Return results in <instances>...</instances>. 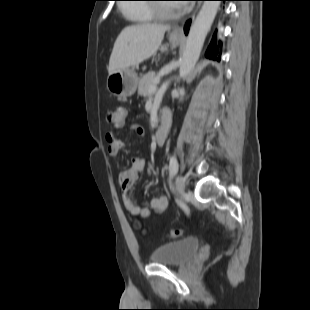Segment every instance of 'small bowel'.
I'll return each mask as SVG.
<instances>
[{
    "label": "small bowel",
    "instance_id": "small-bowel-1",
    "mask_svg": "<svg viewBox=\"0 0 310 310\" xmlns=\"http://www.w3.org/2000/svg\"><path fill=\"white\" fill-rule=\"evenodd\" d=\"M131 130L139 136L144 135V129L140 125L132 126ZM107 140V152L110 156L116 157L123 149V143L115 138L112 132L106 134ZM145 168V160L142 157H134L131 159V164L128 169L123 171L118 178V184L120 188L121 197L124 203V207L129 214L140 219L147 218L151 212L160 214L166 210L169 201L164 195L154 196L150 198L148 203L140 207L135 204L130 196V189L136 183L139 175Z\"/></svg>",
    "mask_w": 310,
    "mask_h": 310
}]
</instances>
